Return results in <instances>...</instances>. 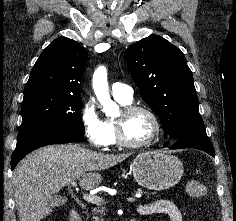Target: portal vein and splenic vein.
Segmentation results:
<instances>
[{"label": "portal vein and splenic vein", "mask_w": 236, "mask_h": 221, "mask_svg": "<svg viewBox=\"0 0 236 221\" xmlns=\"http://www.w3.org/2000/svg\"><path fill=\"white\" fill-rule=\"evenodd\" d=\"M71 186L76 187L77 183L75 181H73V182H71ZM83 199L89 203L96 204V205L104 202V200L101 197L96 196V195H91V194H83ZM127 201L128 202H135L136 198L129 197V198H127Z\"/></svg>", "instance_id": "18ae733b"}]
</instances>
